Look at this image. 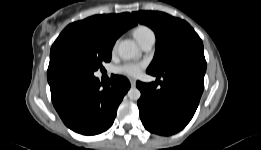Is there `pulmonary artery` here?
<instances>
[{"instance_id":"pulmonary-artery-1","label":"pulmonary artery","mask_w":261,"mask_h":150,"mask_svg":"<svg viewBox=\"0 0 261 150\" xmlns=\"http://www.w3.org/2000/svg\"><path fill=\"white\" fill-rule=\"evenodd\" d=\"M155 40V34L150 32L139 42V44L144 51H149L154 46Z\"/></svg>"}]
</instances>
